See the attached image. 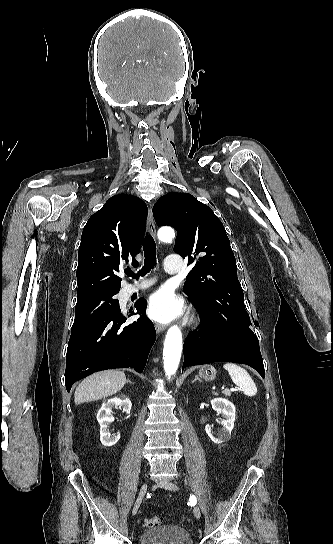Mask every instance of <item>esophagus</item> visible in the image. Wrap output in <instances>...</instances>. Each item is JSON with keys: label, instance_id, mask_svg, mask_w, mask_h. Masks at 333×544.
I'll use <instances>...</instances> for the list:
<instances>
[{"label": "esophagus", "instance_id": "esophagus-1", "mask_svg": "<svg viewBox=\"0 0 333 544\" xmlns=\"http://www.w3.org/2000/svg\"><path fill=\"white\" fill-rule=\"evenodd\" d=\"M147 222H148L149 233L153 237H156V226H155V222H154V218H153L152 209H149ZM155 329H156L157 333H161V332H163L165 330V326L162 325V324L156 323L155 324Z\"/></svg>", "mask_w": 333, "mask_h": 544}]
</instances>
